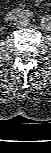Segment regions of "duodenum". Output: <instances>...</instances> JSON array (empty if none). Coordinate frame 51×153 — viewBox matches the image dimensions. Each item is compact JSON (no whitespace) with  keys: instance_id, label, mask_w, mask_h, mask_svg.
Masks as SVG:
<instances>
[{"instance_id":"1","label":"duodenum","mask_w":51,"mask_h":153,"mask_svg":"<svg viewBox=\"0 0 51 153\" xmlns=\"http://www.w3.org/2000/svg\"><path fill=\"white\" fill-rule=\"evenodd\" d=\"M30 12L22 9H13L8 13L9 18L20 17V16H30Z\"/></svg>"}]
</instances>
